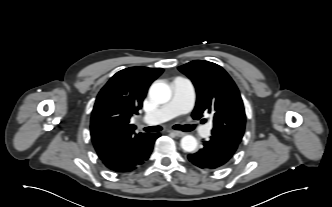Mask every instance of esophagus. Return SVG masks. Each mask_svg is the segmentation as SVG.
Segmentation results:
<instances>
[{"label": "esophagus", "mask_w": 332, "mask_h": 207, "mask_svg": "<svg viewBox=\"0 0 332 207\" xmlns=\"http://www.w3.org/2000/svg\"><path fill=\"white\" fill-rule=\"evenodd\" d=\"M168 132L174 134V135L177 136V137H182V136L185 135V133L180 132V131H177V130H169Z\"/></svg>", "instance_id": "34e87169"}]
</instances>
